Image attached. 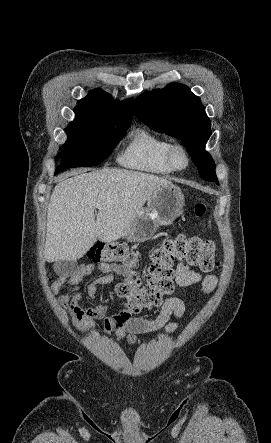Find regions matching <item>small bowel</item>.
I'll use <instances>...</instances> for the list:
<instances>
[{"label":"small bowel","mask_w":271,"mask_h":443,"mask_svg":"<svg viewBox=\"0 0 271 443\" xmlns=\"http://www.w3.org/2000/svg\"><path fill=\"white\" fill-rule=\"evenodd\" d=\"M94 271H99L103 275L91 282L86 288V293L82 294L79 289L83 278ZM131 273L129 269L117 263L83 264L72 275L57 279L52 284L51 290L57 294L63 288H69V291L58 298V302L69 315L72 326L80 332H87L93 321L98 319H104L107 335L114 334L117 339H127L129 342H134L139 334L151 333L161 328H164L168 334L174 332L178 323L170 321L171 317L174 316L178 320L185 312L184 302L176 297L167 299L158 316L152 320L133 317L126 301L124 308L112 316H106L107 307L103 304L83 305V300L88 303L95 300L98 286L110 284L115 275L127 277ZM175 281L181 287L199 283L205 293L212 292L217 285L216 276H202L186 264L177 266Z\"/></svg>","instance_id":"obj_1"}]
</instances>
